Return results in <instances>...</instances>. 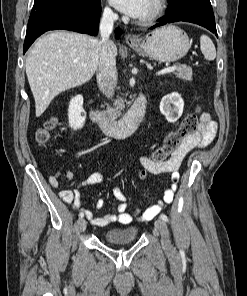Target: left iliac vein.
<instances>
[{"instance_id":"left-iliac-vein-1","label":"left iliac vein","mask_w":247,"mask_h":296,"mask_svg":"<svg viewBox=\"0 0 247 296\" xmlns=\"http://www.w3.org/2000/svg\"><path fill=\"white\" fill-rule=\"evenodd\" d=\"M155 227L157 228V230L161 234V242H162L163 248L167 249V250L171 249L172 245L170 242L169 230H168V227H167L165 221H163L162 219H157L155 221Z\"/></svg>"}]
</instances>
